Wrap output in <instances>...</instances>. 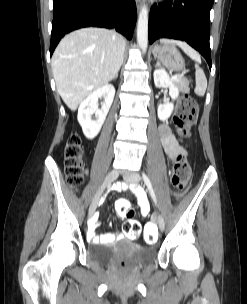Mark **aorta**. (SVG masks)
<instances>
[{"label": "aorta", "mask_w": 247, "mask_h": 304, "mask_svg": "<svg viewBox=\"0 0 247 304\" xmlns=\"http://www.w3.org/2000/svg\"><path fill=\"white\" fill-rule=\"evenodd\" d=\"M137 42L140 49L145 53L148 45V9L145 5L141 8L138 17Z\"/></svg>", "instance_id": "obj_1"}]
</instances>
